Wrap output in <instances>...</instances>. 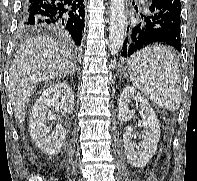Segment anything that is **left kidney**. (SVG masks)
<instances>
[{"label":"left kidney","mask_w":197,"mask_h":181,"mask_svg":"<svg viewBox=\"0 0 197 181\" xmlns=\"http://www.w3.org/2000/svg\"><path fill=\"white\" fill-rule=\"evenodd\" d=\"M132 102L136 104V108H140L142 120H139L138 123L145 129V134L142 136L143 143L141 148L135 145L132 126L127 127L123 135V142L128 162L134 167L141 168L149 162L157 150L160 124L149 102L132 86H126L120 96L118 116L121 121H131L133 118L134 110L129 108Z\"/></svg>","instance_id":"left-kidney-1"}]
</instances>
